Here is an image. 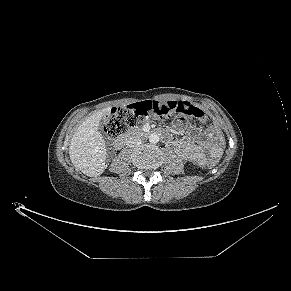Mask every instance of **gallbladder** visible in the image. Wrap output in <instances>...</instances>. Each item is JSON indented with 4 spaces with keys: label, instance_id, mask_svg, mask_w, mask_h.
I'll use <instances>...</instances> for the list:
<instances>
[{
    "label": "gallbladder",
    "instance_id": "obj_1",
    "mask_svg": "<svg viewBox=\"0 0 291 291\" xmlns=\"http://www.w3.org/2000/svg\"><path fill=\"white\" fill-rule=\"evenodd\" d=\"M109 113H106L105 115H104V118H108L109 117Z\"/></svg>",
    "mask_w": 291,
    "mask_h": 291
}]
</instances>
